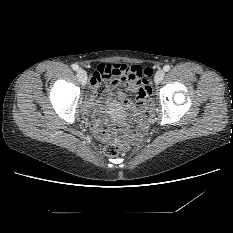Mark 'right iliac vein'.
<instances>
[{
	"mask_svg": "<svg viewBox=\"0 0 233 233\" xmlns=\"http://www.w3.org/2000/svg\"><path fill=\"white\" fill-rule=\"evenodd\" d=\"M77 77L79 79V81L82 83V85H85L87 82V73L85 70L83 69H79L77 71Z\"/></svg>",
	"mask_w": 233,
	"mask_h": 233,
	"instance_id": "63e3f726",
	"label": "right iliac vein"
}]
</instances>
